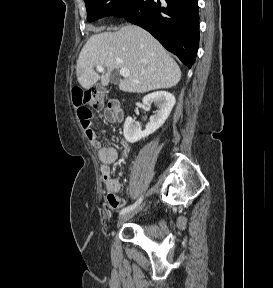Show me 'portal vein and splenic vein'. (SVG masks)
<instances>
[{"instance_id": "obj_1", "label": "portal vein and splenic vein", "mask_w": 273, "mask_h": 288, "mask_svg": "<svg viewBox=\"0 0 273 288\" xmlns=\"http://www.w3.org/2000/svg\"><path fill=\"white\" fill-rule=\"evenodd\" d=\"M97 70L100 71V72H103L104 71V67L102 65H97ZM119 73L124 78H127L130 75V71L128 69H126V68H121Z\"/></svg>"}]
</instances>
